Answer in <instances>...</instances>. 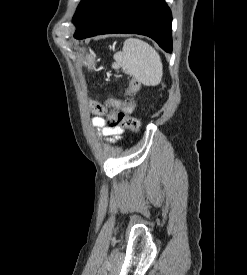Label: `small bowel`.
Listing matches in <instances>:
<instances>
[{
  "label": "small bowel",
  "mask_w": 247,
  "mask_h": 275,
  "mask_svg": "<svg viewBox=\"0 0 247 275\" xmlns=\"http://www.w3.org/2000/svg\"><path fill=\"white\" fill-rule=\"evenodd\" d=\"M93 126L97 127L100 132L107 137L111 138V142L120 139L124 130L121 127L110 126L102 117L96 116L92 119Z\"/></svg>",
  "instance_id": "c3829d8e"
}]
</instances>
